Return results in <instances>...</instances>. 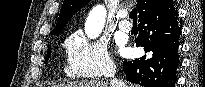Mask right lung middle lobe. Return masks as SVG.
<instances>
[{"mask_svg": "<svg viewBox=\"0 0 205 87\" xmlns=\"http://www.w3.org/2000/svg\"><path fill=\"white\" fill-rule=\"evenodd\" d=\"M50 55H51V47L48 48V51H47V57H46V59H45V62L48 61Z\"/></svg>", "mask_w": 205, "mask_h": 87, "instance_id": "right-lung-middle-lobe-1", "label": "right lung middle lobe"}]
</instances>
